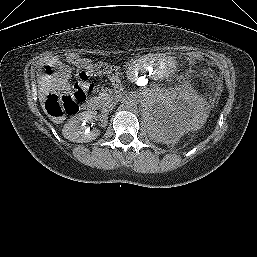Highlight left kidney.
Segmentation results:
<instances>
[{
    "label": "left kidney",
    "instance_id": "obj_1",
    "mask_svg": "<svg viewBox=\"0 0 257 257\" xmlns=\"http://www.w3.org/2000/svg\"><path fill=\"white\" fill-rule=\"evenodd\" d=\"M145 116L152 139L176 143L188 131L202 127L206 119L205 103L190 88L162 90L146 103Z\"/></svg>",
    "mask_w": 257,
    "mask_h": 257
}]
</instances>
